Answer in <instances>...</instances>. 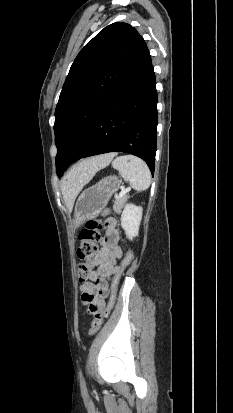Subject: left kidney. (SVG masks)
Instances as JSON below:
<instances>
[{
    "label": "left kidney",
    "mask_w": 233,
    "mask_h": 413,
    "mask_svg": "<svg viewBox=\"0 0 233 413\" xmlns=\"http://www.w3.org/2000/svg\"><path fill=\"white\" fill-rule=\"evenodd\" d=\"M142 211V207L130 203L125 206L122 212L121 226L130 240H133L139 233Z\"/></svg>",
    "instance_id": "left-kidney-1"
}]
</instances>
